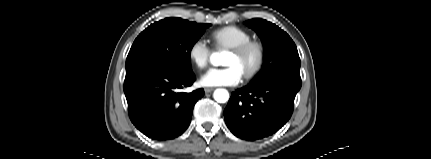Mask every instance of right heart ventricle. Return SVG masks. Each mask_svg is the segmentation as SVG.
I'll return each instance as SVG.
<instances>
[{
  "mask_svg": "<svg viewBox=\"0 0 431 159\" xmlns=\"http://www.w3.org/2000/svg\"><path fill=\"white\" fill-rule=\"evenodd\" d=\"M211 37L219 48L230 49L252 39L251 34L237 26H226L212 32Z\"/></svg>",
  "mask_w": 431,
  "mask_h": 159,
  "instance_id": "1",
  "label": "right heart ventricle"
}]
</instances>
